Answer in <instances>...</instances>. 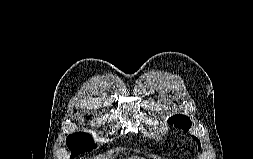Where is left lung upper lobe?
Returning <instances> with one entry per match:
<instances>
[{
	"mask_svg": "<svg viewBox=\"0 0 253 159\" xmlns=\"http://www.w3.org/2000/svg\"><path fill=\"white\" fill-rule=\"evenodd\" d=\"M168 121L170 123H174L177 127L183 128L185 130H188L191 127V121L189 119V117L185 116V115H174L171 118L168 119ZM193 138L197 141L198 143V149L200 150V141L198 140V138L194 137Z\"/></svg>",
	"mask_w": 253,
	"mask_h": 159,
	"instance_id": "left-lung-upper-lobe-1",
	"label": "left lung upper lobe"
}]
</instances>
